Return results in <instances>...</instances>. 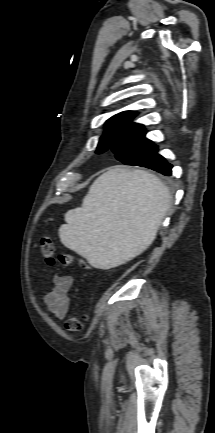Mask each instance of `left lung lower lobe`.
I'll list each match as a JSON object with an SVG mask.
<instances>
[{
	"instance_id": "1",
	"label": "left lung lower lobe",
	"mask_w": 215,
	"mask_h": 433,
	"mask_svg": "<svg viewBox=\"0 0 215 433\" xmlns=\"http://www.w3.org/2000/svg\"><path fill=\"white\" fill-rule=\"evenodd\" d=\"M138 166H142V165H138ZM142 167H144V166H142ZM171 169H172V165L169 164L165 159H163V162L161 163V165L157 169H153V170H155L159 173H162L166 176H170L172 173Z\"/></svg>"
}]
</instances>
